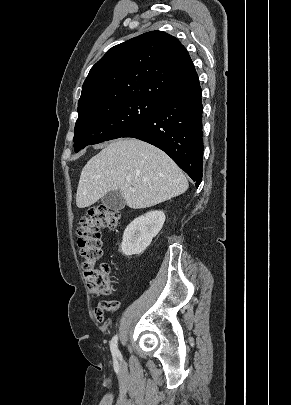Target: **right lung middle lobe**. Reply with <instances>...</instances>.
Listing matches in <instances>:
<instances>
[{"mask_svg":"<svg viewBox=\"0 0 291 405\" xmlns=\"http://www.w3.org/2000/svg\"><path fill=\"white\" fill-rule=\"evenodd\" d=\"M159 106V100L140 97L106 101L78 110L74 148L123 137L144 123Z\"/></svg>","mask_w":291,"mask_h":405,"instance_id":"1","label":"right lung middle lobe"}]
</instances>
